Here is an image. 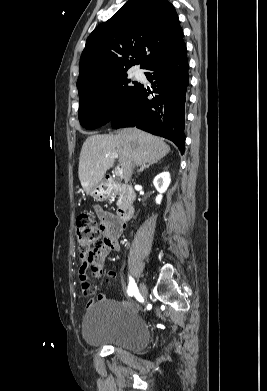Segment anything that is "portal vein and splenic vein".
<instances>
[{
    "instance_id": "portal-vein-and-splenic-vein-1",
    "label": "portal vein and splenic vein",
    "mask_w": 267,
    "mask_h": 391,
    "mask_svg": "<svg viewBox=\"0 0 267 391\" xmlns=\"http://www.w3.org/2000/svg\"><path fill=\"white\" fill-rule=\"evenodd\" d=\"M108 156H111L112 158H118V154H116V153L108 154ZM115 174H116L117 176H122V175H123V169H122V168H118V169L115 171Z\"/></svg>"
}]
</instances>
